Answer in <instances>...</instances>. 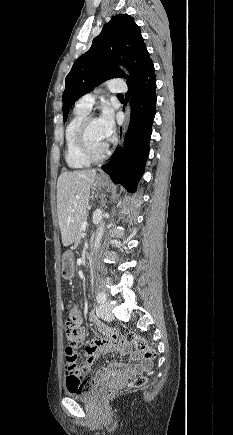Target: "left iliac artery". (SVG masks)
<instances>
[{
    "instance_id": "44dca946",
    "label": "left iliac artery",
    "mask_w": 233,
    "mask_h": 435,
    "mask_svg": "<svg viewBox=\"0 0 233 435\" xmlns=\"http://www.w3.org/2000/svg\"><path fill=\"white\" fill-rule=\"evenodd\" d=\"M105 300H106L105 295L103 293L98 292L97 293V301L99 303H103V302H105Z\"/></svg>"
}]
</instances>
